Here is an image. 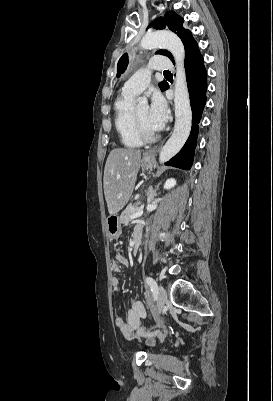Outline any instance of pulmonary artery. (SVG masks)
I'll return each instance as SVG.
<instances>
[{
	"instance_id": "e3ab8cb5",
	"label": "pulmonary artery",
	"mask_w": 273,
	"mask_h": 401,
	"mask_svg": "<svg viewBox=\"0 0 273 401\" xmlns=\"http://www.w3.org/2000/svg\"><path fill=\"white\" fill-rule=\"evenodd\" d=\"M173 60L170 57H153L146 68H139L133 80H128L124 91L126 94L137 95L148 87L151 81L149 72H167L172 69ZM137 86V87H136Z\"/></svg>"
}]
</instances>
